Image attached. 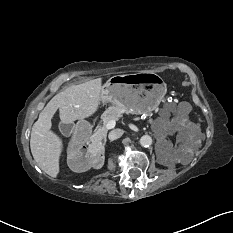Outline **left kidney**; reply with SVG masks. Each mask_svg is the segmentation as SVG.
Here are the masks:
<instances>
[{"instance_id": "left-kidney-1", "label": "left kidney", "mask_w": 233, "mask_h": 233, "mask_svg": "<svg viewBox=\"0 0 233 233\" xmlns=\"http://www.w3.org/2000/svg\"><path fill=\"white\" fill-rule=\"evenodd\" d=\"M167 151H168L169 156H170L172 161H179L180 160L181 157L178 154H176V152H172L169 144H167Z\"/></svg>"}]
</instances>
